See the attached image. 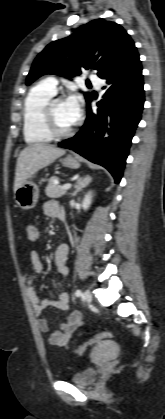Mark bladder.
<instances>
[{
    "mask_svg": "<svg viewBox=\"0 0 165 419\" xmlns=\"http://www.w3.org/2000/svg\"><path fill=\"white\" fill-rule=\"evenodd\" d=\"M98 378V371L93 368H86L70 376V381L79 386H90Z\"/></svg>",
    "mask_w": 165,
    "mask_h": 419,
    "instance_id": "31cf9c89",
    "label": "bladder"
}]
</instances>
